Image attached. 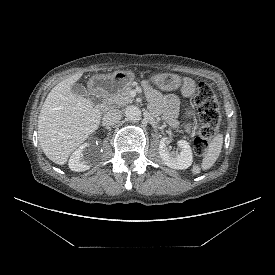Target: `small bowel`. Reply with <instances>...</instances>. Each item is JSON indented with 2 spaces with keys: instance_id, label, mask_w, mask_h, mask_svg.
<instances>
[{
  "instance_id": "small-bowel-1",
  "label": "small bowel",
  "mask_w": 275,
  "mask_h": 275,
  "mask_svg": "<svg viewBox=\"0 0 275 275\" xmlns=\"http://www.w3.org/2000/svg\"><path fill=\"white\" fill-rule=\"evenodd\" d=\"M180 84L183 96L185 98L191 97L195 90L194 82L191 79L183 78ZM145 90L154 107L163 110L165 119L169 123L176 124L179 108L177 97L174 95L159 96L156 90L148 83L145 85Z\"/></svg>"
}]
</instances>
